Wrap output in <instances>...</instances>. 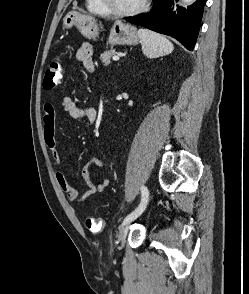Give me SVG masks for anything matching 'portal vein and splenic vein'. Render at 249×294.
I'll return each instance as SVG.
<instances>
[{
  "label": "portal vein and splenic vein",
  "instance_id": "portal-vein-and-splenic-vein-1",
  "mask_svg": "<svg viewBox=\"0 0 249 294\" xmlns=\"http://www.w3.org/2000/svg\"><path fill=\"white\" fill-rule=\"evenodd\" d=\"M113 61H118L120 58H119V56H113Z\"/></svg>",
  "mask_w": 249,
  "mask_h": 294
}]
</instances>
